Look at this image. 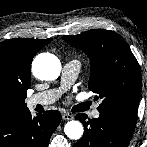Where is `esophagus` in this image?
<instances>
[{"instance_id": "1", "label": "esophagus", "mask_w": 147, "mask_h": 147, "mask_svg": "<svg viewBox=\"0 0 147 147\" xmlns=\"http://www.w3.org/2000/svg\"><path fill=\"white\" fill-rule=\"evenodd\" d=\"M62 119L64 120H72L73 119V115L70 113H63L62 114Z\"/></svg>"}]
</instances>
